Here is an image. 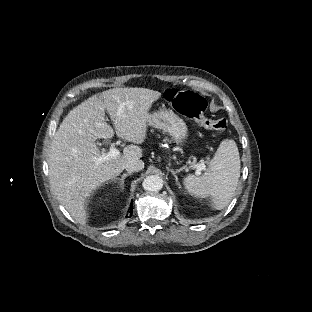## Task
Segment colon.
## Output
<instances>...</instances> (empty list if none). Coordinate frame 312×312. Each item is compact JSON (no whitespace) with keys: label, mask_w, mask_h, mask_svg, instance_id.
<instances>
[{"label":"colon","mask_w":312,"mask_h":312,"mask_svg":"<svg viewBox=\"0 0 312 312\" xmlns=\"http://www.w3.org/2000/svg\"><path fill=\"white\" fill-rule=\"evenodd\" d=\"M166 101L176 111L194 119L199 126L205 129L224 131L228 127L227 121L223 118L210 119L204 116L207 103L198 93L171 89L167 93Z\"/></svg>","instance_id":"5ec220e1"}]
</instances>
